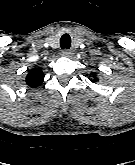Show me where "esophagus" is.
<instances>
[{
    "mask_svg": "<svg viewBox=\"0 0 135 165\" xmlns=\"http://www.w3.org/2000/svg\"><path fill=\"white\" fill-rule=\"evenodd\" d=\"M72 54H73L72 50L64 49L62 51V55L65 56V57H70Z\"/></svg>",
    "mask_w": 135,
    "mask_h": 165,
    "instance_id": "esophagus-1",
    "label": "esophagus"
}]
</instances>
